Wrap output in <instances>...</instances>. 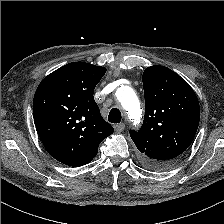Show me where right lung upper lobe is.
I'll return each instance as SVG.
<instances>
[{
  "label": "right lung upper lobe",
  "mask_w": 224,
  "mask_h": 224,
  "mask_svg": "<svg viewBox=\"0 0 224 224\" xmlns=\"http://www.w3.org/2000/svg\"><path fill=\"white\" fill-rule=\"evenodd\" d=\"M106 68L72 62L46 76L33 100L37 132L48 153L68 166L89 163L99 144L114 132L94 101Z\"/></svg>",
  "instance_id": "obj_1"
}]
</instances>
